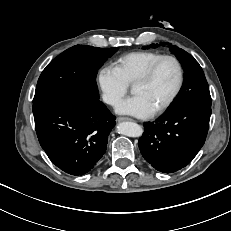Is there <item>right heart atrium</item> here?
I'll use <instances>...</instances> for the list:
<instances>
[{"mask_svg": "<svg viewBox=\"0 0 231 231\" xmlns=\"http://www.w3.org/2000/svg\"><path fill=\"white\" fill-rule=\"evenodd\" d=\"M97 83L103 101L110 106H116L128 90V84L116 69L109 65L98 70Z\"/></svg>", "mask_w": 231, "mask_h": 231, "instance_id": "1", "label": "right heart atrium"}]
</instances>
